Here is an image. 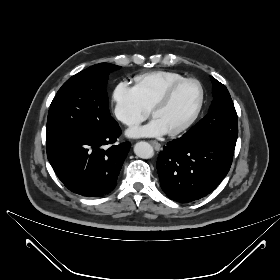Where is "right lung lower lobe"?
Masks as SVG:
<instances>
[{"instance_id": "1", "label": "right lung lower lobe", "mask_w": 280, "mask_h": 280, "mask_svg": "<svg viewBox=\"0 0 280 280\" xmlns=\"http://www.w3.org/2000/svg\"><path fill=\"white\" fill-rule=\"evenodd\" d=\"M120 134L118 123L101 132L63 134L47 142L48 160L69 190L101 197L116 187L131 147L130 143L113 144Z\"/></svg>"}]
</instances>
